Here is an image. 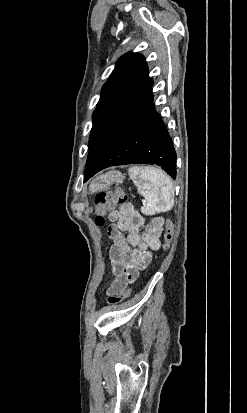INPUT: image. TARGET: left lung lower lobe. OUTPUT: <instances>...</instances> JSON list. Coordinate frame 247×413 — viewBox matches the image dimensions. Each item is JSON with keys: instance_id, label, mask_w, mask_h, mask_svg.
<instances>
[{"instance_id": "left-lung-lower-lobe-1", "label": "left lung lower lobe", "mask_w": 247, "mask_h": 413, "mask_svg": "<svg viewBox=\"0 0 247 413\" xmlns=\"http://www.w3.org/2000/svg\"><path fill=\"white\" fill-rule=\"evenodd\" d=\"M152 86L89 150L84 182L106 167L125 164H157L176 178V152L155 111Z\"/></svg>"}]
</instances>
